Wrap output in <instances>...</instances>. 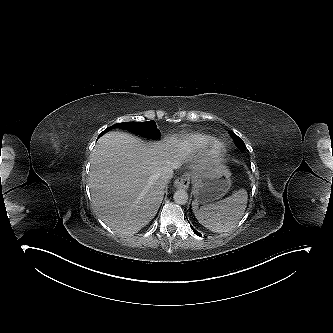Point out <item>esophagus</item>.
<instances>
[{"label": "esophagus", "instance_id": "1", "mask_svg": "<svg viewBox=\"0 0 333 333\" xmlns=\"http://www.w3.org/2000/svg\"><path fill=\"white\" fill-rule=\"evenodd\" d=\"M190 174L184 173L174 181V186L177 188L187 189L190 184Z\"/></svg>", "mask_w": 333, "mask_h": 333}]
</instances>
